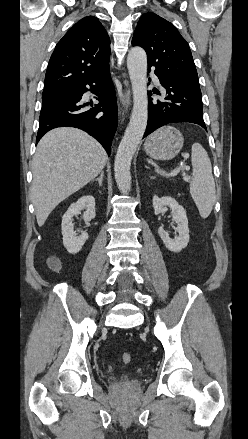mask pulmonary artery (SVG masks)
<instances>
[{"instance_id":"e3ab8cb5","label":"pulmonary artery","mask_w":248,"mask_h":439,"mask_svg":"<svg viewBox=\"0 0 248 439\" xmlns=\"http://www.w3.org/2000/svg\"><path fill=\"white\" fill-rule=\"evenodd\" d=\"M151 77L153 78L155 83L159 84L158 78L153 73H151Z\"/></svg>"}]
</instances>
